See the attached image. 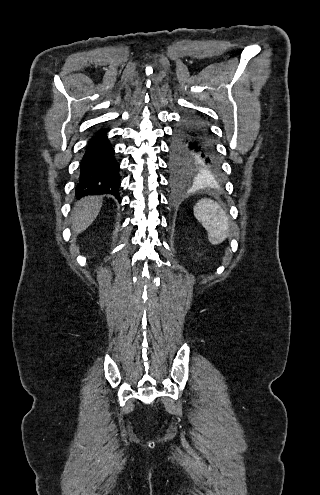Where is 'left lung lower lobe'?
Instances as JSON below:
<instances>
[{"label": "left lung lower lobe", "instance_id": "left-lung-lower-lobe-1", "mask_svg": "<svg viewBox=\"0 0 320 495\" xmlns=\"http://www.w3.org/2000/svg\"><path fill=\"white\" fill-rule=\"evenodd\" d=\"M182 125L186 127L194 149L199 152L207 165V174L212 175L218 173L221 170V163L208 131L202 123L193 116L185 118Z\"/></svg>", "mask_w": 320, "mask_h": 495}]
</instances>
